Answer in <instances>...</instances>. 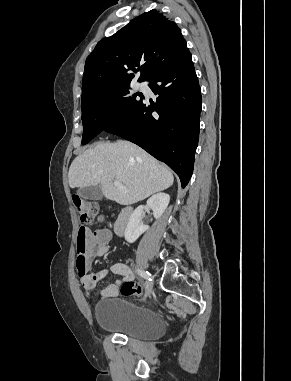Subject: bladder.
<instances>
[{
    "label": "bladder",
    "mask_w": 291,
    "mask_h": 381,
    "mask_svg": "<svg viewBox=\"0 0 291 381\" xmlns=\"http://www.w3.org/2000/svg\"><path fill=\"white\" fill-rule=\"evenodd\" d=\"M95 319L105 331L143 341L154 340L166 330L163 318L156 311L122 299L97 304Z\"/></svg>",
    "instance_id": "bladder-1"
}]
</instances>
